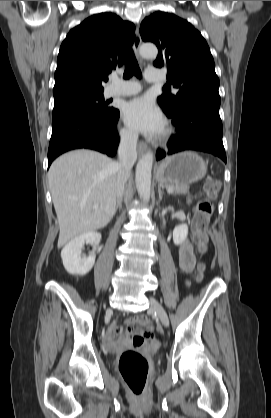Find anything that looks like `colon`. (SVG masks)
<instances>
[{
	"mask_svg": "<svg viewBox=\"0 0 271 418\" xmlns=\"http://www.w3.org/2000/svg\"><path fill=\"white\" fill-rule=\"evenodd\" d=\"M219 188L220 185L216 181L206 182L203 189L206 197L198 201L195 207V216L192 222L193 237L202 253L206 252L207 249L206 229L214 210L211 199L216 196ZM204 269V264H201L199 266L200 279ZM139 322L147 327L144 336L153 337V330L148 319L139 316ZM118 366L120 374L131 393L135 396H141L145 391L149 375L147 358L135 350H126L121 354Z\"/></svg>",
	"mask_w": 271,
	"mask_h": 418,
	"instance_id": "obj_1",
	"label": "colon"
}]
</instances>
